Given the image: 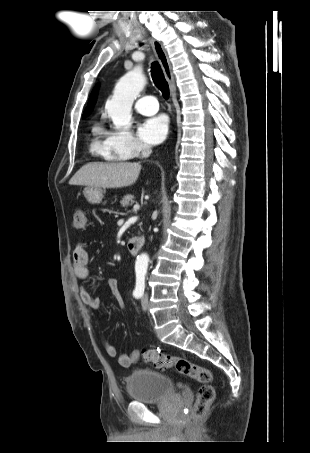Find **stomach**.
<instances>
[{"instance_id": "stomach-1", "label": "stomach", "mask_w": 310, "mask_h": 453, "mask_svg": "<svg viewBox=\"0 0 310 453\" xmlns=\"http://www.w3.org/2000/svg\"><path fill=\"white\" fill-rule=\"evenodd\" d=\"M86 200L91 204H98L102 201L103 192L100 188L87 187L84 190Z\"/></svg>"}]
</instances>
